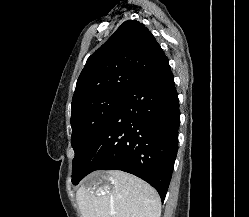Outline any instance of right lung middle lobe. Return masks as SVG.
I'll use <instances>...</instances> for the list:
<instances>
[{"instance_id":"1","label":"right lung middle lobe","mask_w":249,"mask_h":217,"mask_svg":"<svg viewBox=\"0 0 249 217\" xmlns=\"http://www.w3.org/2000/svg\"><path fill=\"white\" fill-rule=\"evenodd\" d=\"M124 97V94H104L85 101L72 109L71 144L75 151L72 166V183L74 185L78 183L80 178L79 166L90 145L109 122Z\"/></svg>"}]
</instances>
